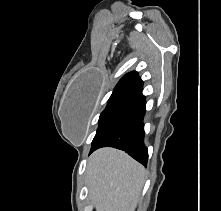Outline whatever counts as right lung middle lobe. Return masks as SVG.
<instances>
[{"instance_id":"1","label":"right lung middle lobe","mask_w":221,"mask_h":211,"mask_svg":"<svg viewBox=\"0 0 221 211\" xmlns=\"http://www.w3.org/2000/svg\"><path fill=\"white\" fill-rule=\"evenodd\" d=\"M138 94L135 91H115L99 117V127L93 141L116 119L124 107Z\"/></svg>"}]
</instances>
